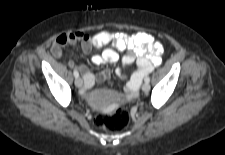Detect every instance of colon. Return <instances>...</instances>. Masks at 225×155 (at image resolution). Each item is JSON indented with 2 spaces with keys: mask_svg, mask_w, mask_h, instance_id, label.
Wrapping results in <instances>:
<instances>
[{
  "mask_svg": "<svg viewBox=\"0 0 225 155\" xmlns=\"http://www.w3.org/2000/svg\"><path fill=\"white\" fill-rule=\"evenodd\" d=\"M130 119V113L121 108L105 115H98L94 119V123L98 128L114 133L124 130L128 126Z\"/></svg>",
  "mask_w": 225,
  "mask_h": 155,
  "instance_id": "obj_1",
  "label": "colon"
}]
</instances>
